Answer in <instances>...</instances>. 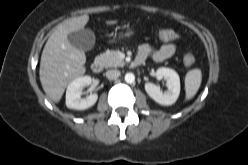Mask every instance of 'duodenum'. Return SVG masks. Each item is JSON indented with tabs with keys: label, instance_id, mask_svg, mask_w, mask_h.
<instances>
[{
	"label": "duodenum",
	"instance_id": "1",
	"mask_svg": "<svg viewBox=\"0 0 248 165\" xmlns=\"http://www.w3.org/2000/svg\"><path fill=\"white\" fill-rule=\"evenodd\" d=\"M143 62H144V59L142 57L137 56L133 63V66H140ZM103 66H104L103 59L97 58L91 64V70L94 73H100L103 70Z\"/></svg>",
	"mask_w": 248,
	"mask_h": 165
}]
</instances>
